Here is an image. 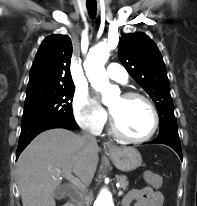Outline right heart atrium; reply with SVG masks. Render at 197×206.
I'll use <instances>...</instances> for the list:
<instances>
[{"mask_svg": "<svg viewBox=\"0 0 197 206\" xmlns=\"http://www.w3.org/2000/svg\"><path fill=\"white\" fill-rule=\"evenodd\" d=\"M72 108L75 120L82 128L94 134L102 131L107 121V114L97 105L88 91L81 90L74 94Z\"/></svg>", "mask_w": 197, "mask_h": 206, "instance_id": "obj_1", "label": "right heart atrium"}]
</instances>
